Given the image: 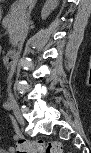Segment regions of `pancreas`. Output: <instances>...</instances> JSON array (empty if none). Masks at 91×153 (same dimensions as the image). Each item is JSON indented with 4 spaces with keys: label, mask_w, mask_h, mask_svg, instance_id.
<instances>
[{
    "label": "pancreas",
    "mask_w": 91,
    "mask_h": 153,
    "mask_svg": "<svg viewBox=\"0 0 91 153\" xmlns=\"http://www.w3.org/2000/svg\"><path fill=\"white\" fill-rule=\"evenodd\" d=\"M3 26L7 28V32L10 36V43L16 45L18 37L22 30V16L19 11H16L13 7L9 14L3 19Z\"/></svg>",
    "instance_id": "1"
}]
</instances>
